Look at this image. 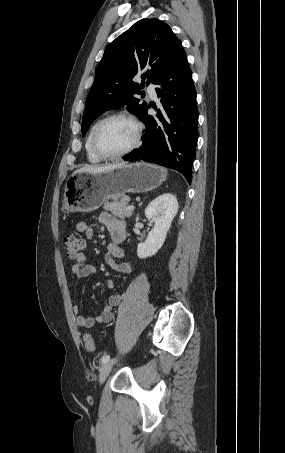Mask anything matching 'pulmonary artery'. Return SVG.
I'll use <instances>...</instances> for the list:
<instances>
[{"mask_svg": "<svg viewBox=\"0 0 285 453\" xmlns=\"http://www.w3.org/2000/svg\"><path fill=\"white\" fill-rule=\"evenodd\" d=\"M147 92L151 98L155 99L157 97L156 86L153 83L148 85Z\"/></svg>", "mask_w": 285, "mask_h": 453, "instance_id": "e3ab8cb5", "label": "pulmonary artery"}]
</instances>
